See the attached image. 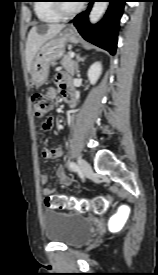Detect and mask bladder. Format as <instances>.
I'll return each instance as SVG.
<instances>
[{
  "label": "bladder",
  "mask_w": 158,
  "mask_h": 275,
  "mask_svg": "<svg viewBox=\"0 0 158 275\" xmlns=\"http://www.w3.org/2000/svg\"><path fill=\"white\" fill-rule=\"evenodd\" d=\"M44 236L47 240L67 246H77L92 234L91 220L79 213L46 209L42 215Z\"/></svg>",
  "instance_id": "obj_1"
}]
</instances>
